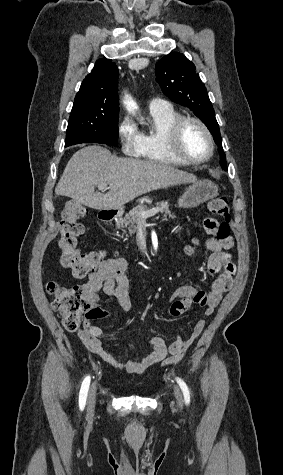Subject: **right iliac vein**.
<instances>
[{"mask_svg":"<svg viewBox=\"0 0 283 475\" xmlns=\"http://www.w3.org/2000/svg\"><path fill=\"white\" fill-rule=\"evenodd\" d=\"M96 385H93L89 391L88 395V408L90 411L94 408L95 398H96Z\"/></svg>","mask_w":283,"mask_h":475,"instance_id":"right-iliac-vein-1","label":"right iliac vein"}]
</instances>
